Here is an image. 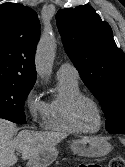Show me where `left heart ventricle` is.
Segmentation results:
<instances>
[{
	"label": "left heart ventricle",
	"instance_id": "obj_1",
	"mask_svg": "<svg viewBox=\"0 0 125 167\" xmlns=\"http://www.w3.org/2000/svg\"><path fill=\"white\" fill-rule=\"evenodd\" d=\"M81 125L89 130H94L99 125V116L96 108L90 102H83L78 111Z\"/></svg>",
	"mask_w": 125,
	"mask_h": 167
}]
</instances>
